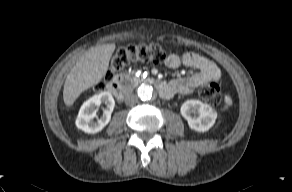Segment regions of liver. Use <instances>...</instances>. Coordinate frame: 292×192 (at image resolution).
<instances>
[{
  "mask_svg": "<svg viewBox=\"0 0 292 192\" xmlns=\"http://www.w3.org/2000/svg\"><path fill=\"white\" fill-rule=\"evenodd\" d=\"M115 44H105L89 49L79 58L64 83L63 100L71 106L82 92L96 85L105 76Z\"/></svg>",
  "mask_w": 292,
  "mask_h": 192,
  "instance_id": "liver-1",
  "label": "liver"
}]
</instances>
